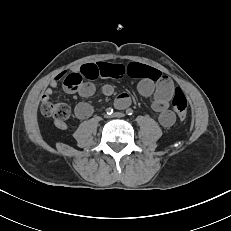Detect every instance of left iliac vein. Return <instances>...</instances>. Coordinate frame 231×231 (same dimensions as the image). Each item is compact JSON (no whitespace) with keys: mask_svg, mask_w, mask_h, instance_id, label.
I'll use <instances>...</instances> for the list:
<instances>
[{"mask_svg":"<svg viewBox=\"0 0 231 231\" xmlns=\"http://www.w3.org/2000/svg\"><path fill=\"white\" fill-rule=\"evenodd\" d=\"M125 115L121 112H116L113 114V117H116V118H123Z\"/></svg>","mask_w":231,"mask_h":231,"instance_id":"left-iliac-vein-1","label":"left iliac vein"}]
</instances>
